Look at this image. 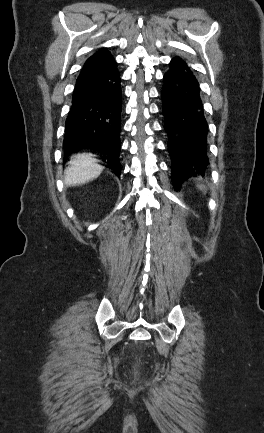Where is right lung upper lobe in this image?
<instances>
[{
  "mask_svg": "<svg viewBox=\"0 0 264 433\" xmlns=\"http://www.w3.org/2000/svg\"><path fill=\"white\" fill-rule=\"evenodd\" d=\"M101 52H103V53H107V54H109V52L106 50V49H102V50H100ZM64 154H65V152H64ZM66 156V155H65Z\"/></svg>",
  "mask_w": 264,
  "mask_h": 433,
  "instance_id": "right-lung-upper-lobe-1",
  "label": "right lung upper lobe"
}]
</instances>
